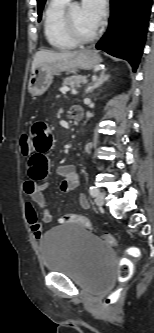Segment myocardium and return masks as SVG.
<instances>
[{"mask_svg": "<svg viewBox=\"0 0 154 333\" xmlns=\"http://www.w3.org/2000/svg\"><path fill=\"white\" fill-rule=\"evenodd\" d=\"M70 9L71 6H67L63 15V25L68 36L77 44H86L94 41L99 35L98 30L88 36L80 34L74 25Z\"/></svg>", "mask_w": 154, "mask_h": 333, "instance_id": "myocardium-1", "label": "myocardium"}]
</instances>
